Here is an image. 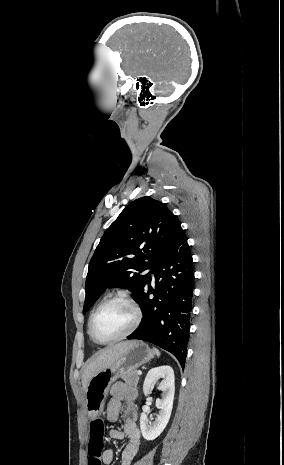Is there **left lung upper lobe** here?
Listing matches in <instances>:
<instances>
[{"mask_svg": "<svg viewBox=\"0 0 284 465\" xmlns=\"http://www.w3.org/2000/svg\"><path fill=\"white\" fill-rule=\"evenodd\" d=\"M180 227L166 205L151 197H141L126 206L102 236L90 260L83 313L109 287L128 288L137 301L150 275L140 273L153 268Z\"/></svg>", "mask_w": 284, "mask_h": 465, "instance_id": "1", "label": "left lung upper lobe"}]
</instances>
